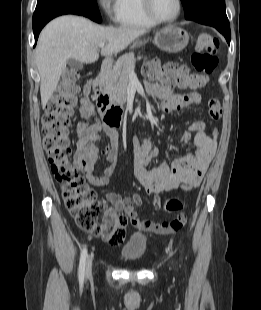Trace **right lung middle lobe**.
Listing matches in <instances>:
<instances>
[{"label": "right lung middle lobe", "instance_id": "1", "mask_svg": "<svg viewBox=\"0 0 261 310\" xmlns=\"http://www.w3.org/2000/svg\"><path fill=\"white\" fill-rule=\"evenodd\" d=\"M54 13L77 14L101 23L97 0H38L33 14V23L40 18Z\"/></svg>", "mask_w": 261, "mask_h": 310}]
</instances>
